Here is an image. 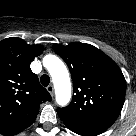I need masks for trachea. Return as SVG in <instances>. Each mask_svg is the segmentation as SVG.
Instances as JSON below:
<instances>
[{
  "instance_id": "3493384b",
  "label": "trachea",
  "mask_w": 136,
  "mask_h": 136,
  "mask_svg": "<svg viewBox=\"0 0 136 136\" xmlns=\"http://www.w3.org/2000/svg\"><path fill=\"white\" fill-rule=\"evenodd\" d=\"M40 82L43 86H48L50 83V77L46 74L42 75L40 77Z\"/></svg>"
}]
</instances>
